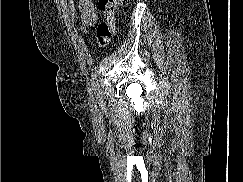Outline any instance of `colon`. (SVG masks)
Wrapping results in <instances>:
<instances>
[{
	"mask_svg": "<svg viewBox=\"0 0 243 182\" xmlns=\"http://www.w3.org/2000/svg\"><path fill=\"white\" fill-rule=\"evenodd\" d=\"M125 0H98V9L104 16L96 29V43L98 47L104 48L115 34V12Z\"/></svg>",
	"mask_w": 243,
	"mask_h": 182,
	"instance_id": "obj_1",
	"label": "colon"
}]
</instances>
